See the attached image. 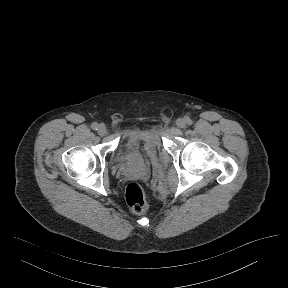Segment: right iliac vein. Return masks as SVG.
<instances>
[{"label":"right iliac vein","mask_w":288,"mask_h":288,"mask_svg":"<svg viewBox=\"0 0 288 288\" xmlns=\"http://www.w3.org/2000/svg\"><path fill=\"white\" fill-rule=\"evenodd\" d=\"M106 133H107V128H106V126H105L104 124H100V125L98 126V134H99L100 136H104V135H106Z\"/></svg>","instance_id":"right-iliac-vein-1"}]
</instances>
